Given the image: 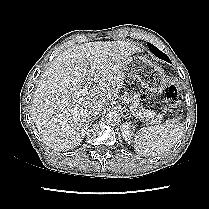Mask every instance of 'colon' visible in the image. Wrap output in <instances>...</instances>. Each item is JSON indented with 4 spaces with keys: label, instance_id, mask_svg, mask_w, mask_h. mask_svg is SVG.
Wrapping results in <instances>:
<instances>
[{
    "label": "colon",
    "instance_id": "1",
    "mask_svg": "<svg viewBox=\"0 0 209 209\" xmlns=\"http://www.w3.org/2000/svg\"><path fill=\"white\" fill-rule=\"evenodd\" d=\"M182 100V92L180 88L175 84H169L166 93L165 101L170 109L177 107Z\"/></svg>",
    "mask_w": 209,
    "mask_h": 209
}]
</instances>
